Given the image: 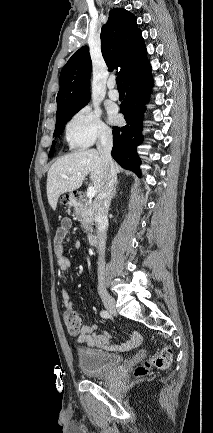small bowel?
I'll use <instances>...</instances> for the list:
<instances>
[{"label":"small bowel","mask_w":213,"mask_h":433,"mask_svg":"<svg viewBox=\"0 0 213 433\" xmlns=\"http://www.w3.org/2000/svg\"><path fill=\"white\" fill-rule=\"evenodd\" d=\"M71 226L72 222L69 218L62 219L53 239L54 256L56 258L57 266L60 271L65 273L68 272L71 268V260L65 254L64 249L65 239L69 233V230L71 229ZM75 246L79 248L81 246V242H75ZM62 299L65 307L72 306L73 303L70 299L67 286L63 288ZM141 341V335L138 332H133L126 342L120 345H113L110 343L109 332H98L97 326L95 324L83 325L77 332L78 343L86 344L91 348H98L107 351H128L132 348L139 346L141 344Z\"/></svg>","instance_id":"obj_1"}]
</instances>
